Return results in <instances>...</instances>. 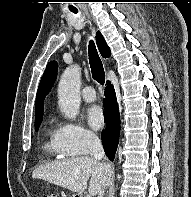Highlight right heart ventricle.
I'll return each instance as SVG.
<instances>
[{
	"mask_svg": "<svg viewBox=\"0 0 191 197\" xmlns=\"http://www.w3.org/2000/svg\"><path fill=\"white\" fill-rule=\"evenodd\" d=\"M43 149L47 154L58 159H63L67 156L60 150L58 143V129L51 126L45 128Z\"/></svg>",
	"mask_w": 191,
	"mask_h": 197,
	"instance_id": "1",
	"label": "right heart ventricle"
}]
</instances>
